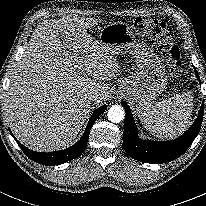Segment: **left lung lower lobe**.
<instances>
[{
  "instance_id": "0a47b994",
  "label": "left lung lower lobe",
  "mask_w": 206,
  "mask_h": 206,
  "mask_svg": "<svg viewBox=\"0 0 206 206\" xmlns=\"http://www.w3.org/2000/svg\"><path fill=\"white\" fill-rule=\"evenodd\" d=\"M196 77L200 81L197 71ZM122 106L126 112L123 133L125 151L137 161L153 164L170 162L180 157L198 135L204 113V104H202L195 122L179 138L170 141H146L138 137V130L127 103L122 102Z\"/></svg>"
}]
</instances>
